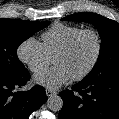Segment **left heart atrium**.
Listing matches in <instances>:
<instances>
[{
    "instance_id": "obj_1",
    "label": "left heart atrium",
    "mask_w": 119,
    "mask_h": 119,
    "mask_svg": "<svg viewBox=\"0 0 119 119\" xmlns=\"http://www.w3.org/2000/svg\"><path fill=\"white\" fill-rule=\"evenodd\" d=\"M71 79L72 77L68 71L65 68L57 65L44 69L34 76V81L37 84L50 89H56L69 82Z\"/></svg>"
}]
</instances>
